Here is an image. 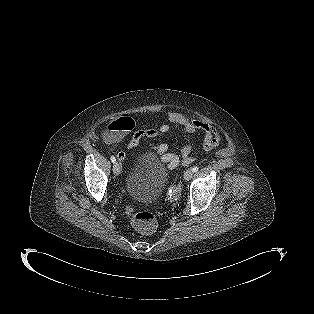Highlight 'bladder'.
Listing matches in <instances>:
<instances>
[{
	"mask_svg": "<svg viewBox=\"0 0 314 314\" xmlns=\"http://www.w3.org/2000/svg\"><path fill=\"white\" fill-rule=\"evenodd\" d=\"M169 179V170L159 157L146 152L141 154L128 175L127 189L138 203L157 199Z\"/></svg>",
	"mask_w": 314,
	"mask_h": 314,
	"instance_id": "obj_1",
	"label": "bladder"
}]
</instances>
